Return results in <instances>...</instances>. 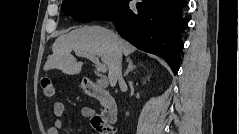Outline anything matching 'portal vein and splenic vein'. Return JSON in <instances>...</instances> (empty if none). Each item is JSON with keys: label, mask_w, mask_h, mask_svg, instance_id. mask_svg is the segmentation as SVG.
Returning <instances> with one entry per match:
<instances>
[{"label": "portal vein and splenic vein", "mask_w": 239, "mask_h": 134, "mask_svg": "<svg viewBox=\"0 0 239 134\" xmlns=\"http://www.w3.org/2000/svg\"><path fill=\"white\" fill-rule=\"evenodd\" d=\"M76 54L79 55V56H83L85 58L90 59L97 66V68L100 72H106L107 71V66L103 63H100L99 59L96 55L89 54V53H86V52H79V51H76Z\"/></svg>", "instance_id": "portal-vein-and-splenic-vein-1"}]
</instances>
